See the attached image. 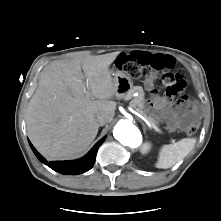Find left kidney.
I'll use <instances>...</instances> for the list:
<instances>
[{
    "label": "left kidney",
    "mask_w": 221,
    "mask_h": 221,
    "mask_svg": "<svg viewBox=\"0 0 221 221\" xmlns=\"http://www.w3.org/2000/svg\"><path fill=\"white\" fill-rule=\"evenodd\" d=\"M150 148H151V144H150L149 142H146V143H144L141 152H142L143 154H146V153H148V151L150 150Z\"/></svg>",
    "instance_id": "5707ae66"
}]
</instances>
